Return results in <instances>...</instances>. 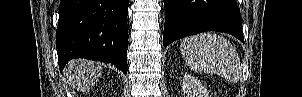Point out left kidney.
Returning a JSON list of instances; mask_svg holds the SVG:
<instances>
[{"label":"left kidney","mask_w":302,"mask_h":97,"mask_svg":"<svg viewBox=\"0 0 302 97\" xmlns=\"http://www.w3.org/2000/svg\"><path fill=\"white\" fill-rule=\"evenodd\" d=\"M184 97H211L202 83L190 74H185L182 80Z\"/></svg>","instance_id":"obj_1"}]
</instances>
